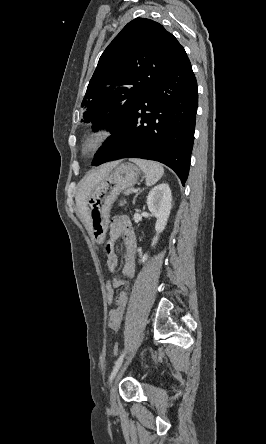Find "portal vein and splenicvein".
Masks as SVG:
<instances>
[{"instance_id":"obj_1","label":"portal vein and splenic vein","mask_w":266,"mask_h":444,"mask_svg":"<svg viewBox=\"0 0 266 444\" xmlns=\"http://www.w3.org/2000/svg\"><path fill=\"white\" fill-rule=\"evenodd\" d=\"M133 192H137V189H134Z\"/></svg>"}]
</instances>
